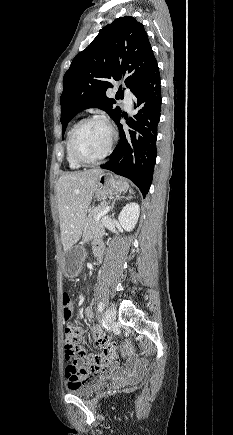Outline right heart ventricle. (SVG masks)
I'll use <instances>...</instances> for the list:
<instances>
[{
	"instance_id": "1",
	"label": "right heart ventricle",
	"mask_w": 233,
	"mask_h": 435,
	"mask_svg": "<svg viewBox=\"0 0 233 435\" xmlns=\"http://www.w3.org/2000/svg\"><path fill=\"white\" fill-rule=\"evenodd\" d=\"M73 127H74V126H72V127L69 129L68 133H67V138H66V161H67L68 166H69L71 169H79V168L81 167V165L78 164V163L74 160V158L72 157V154H71V150H70V135H71V132H72Z\"/></svg>"
}]
</instances>
